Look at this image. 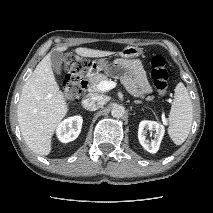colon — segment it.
<instances>
[{"mask_svg": "<svg viewBox=\"0 0 213 213\" xmlns=\"http://www.w3.org/2000/svg\"><path fill=\"white\" fill-rule=\"evenodd\" d=\"M66 77L62 85L64 97L76 101L84 94L83 81L89 68V62L77 55H69L64 62ZM153 83L160 95H166L169 84V70L164 57L153 56L150 62Z\"/></svg>", "mask_w": 213, "mask_h": 213, "instance_id": "5ec220e1", "label": "colon"}]
</instances>
